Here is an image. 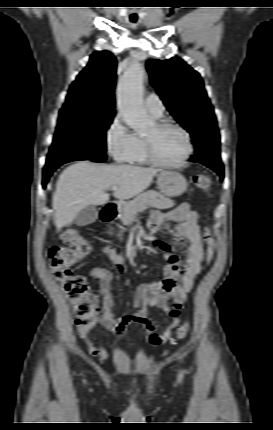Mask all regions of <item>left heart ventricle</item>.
Masks as SVG:
<instances>
[{"label": "left heart ventricle", "mask_w": 273, "mask_h": 430, "mask_svg": "<svg viewBox=\"0 0 273 430\" xmlns=\"http://www.w3.org/2000/svg\"><path fill=\"white\" fill-rule=\"evenodd\" d=\"M145 137L151 140L157 157L162 161H177L185 153V137L176 129L166 128L158 130L153 125Z\"/></svg>", "instance_id": "1"}]
</instances>
